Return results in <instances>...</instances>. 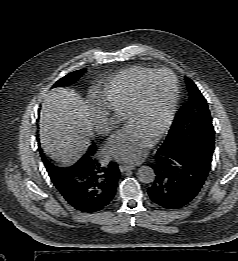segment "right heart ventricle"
Instances as JSON below:
<instances>
[{
	"instance_id": "right-heart-ventricle-1",
	"label": "right heart ventricle",
	"mask_w": 238,
	"mask_h": 261,
	"mask_svg": "<svg viewBox=\"0 0 238 261\" xmlns=\"http://www.w3.org/2000/svg\"><path fill=\"white\" fill-rule=\"evenodd\" d=\"M152 71L153 69L144 66H133L123 70L98 91L96 98L99 105L117 116L125 115L139 83Z\"/></svg>"
}]
</instances>
